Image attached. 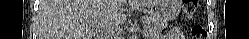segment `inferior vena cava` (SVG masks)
Segmentation results:
<instances>
[{
    "label": "inferior vena cava",
    "mask_w": 249,
    "mask_h": 39,
    "mask_svg": "<svg viewBox=\"0 0 249 39\" xmlns=\"http://www.w3.org/2000/svg\"><path fill=\"white\" fill-rule=\"evenodd\" d=\"M117 32L118 31L115 28L114 29H109L108 30V35H109L110 39H113V38L115 39V37L118 36Z\"/></svg>",
    "instance_id": "obj_1"
}]
</instances>
